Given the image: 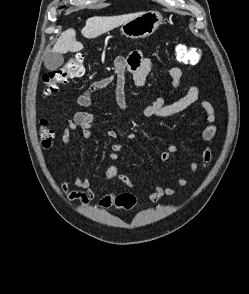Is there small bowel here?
<instances>
[{
	"mask_svg": "<svg viewBox=\"0 0 249 294\" xmlns=\"http://www.w3.org/2000/svg\"><path fill=\"white\" fill-rule=\"evenodd\" d=\"M125 62L123 69H117V84L115 89V101L119 108L125 110L128 107L126 100V74L131 75L133 83L136 87H141L151 69V59L144 55L141 50L133 51L127 58L117 57ZM171 78V88L165 97H158L153 103L146 106L143 110L145 118L169 117L178 114L190 106L198 103L200 108L206 113L208 125L201 131L202 140L212 143L216 134L215 120L216 115L212 104L206 100L200 99V93L197 86H191L184 96L173 103H167V98L170 97L175 90L180 86L182 78V70L179 67H172L169 71ZM112 77H104L94 81L83 93L77 98V104L80 108L86 109L91 106L93 97L96 93L103 90L111 81ZM94 117L91 113L81 110L78 111L72 120H69L67 126L61 134V141L65 145L71 143L72 134L76 130H80L84 139L92 137V125ZM107 136L111 139H116L119 133L110 129L107 131ZM125 137L129 140L135 139V135L131 132L125 133ZM125 150V146L121 143H115L111 147L109 159L113 162L119 159V153ZM178 147L174 144L166 146L160 153L162 161H168L178 153ZM212 150L210 146H204L201 149V159L204 168H209L212 163ZM199 169L198 163L190 159L189 170L191 174H197ZM118 180L127 188L135 189L138 187L132 179L120 173L116 164L109 165L103 175V181ZM75 189H70L71 182L65 180L62 184L64 195L69 200H78L82 206L88 205L96 196L97 188L94 187L89 178L77 176L74 178ZM187 179L183 176L176 177V186L178 189H183L187 186ZM176 189L172 186L155 185L153 191L149 195L151 202H157L163 197L175 195ZM118 194L108 193L104 195L98 202L99 209L104 210L115 205Z\"/></svg>",
	"mask_w": 249,
	"mask_h": 294,
	"instance_id": "small-bowel-1",
	"label": "small bowel"
}]
</instances>
